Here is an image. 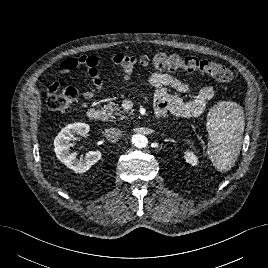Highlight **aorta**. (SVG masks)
I'll return each mask as SVG.
<instances>
[{"label":"aorta","instance_id":"aorta-1","mask_svg":"<svg viewBox=\"0 0 268 268\" xmlns=\"http://www.w3.org/2000/svg\"><path fill=\"white\" fill-rule=\"evenodd\" d=\"M131 142L137 148H144L148 144V139L142 134H134L132 136Z\"/></svg>","mask_w":268,"mask_h":268}]
</instances>
